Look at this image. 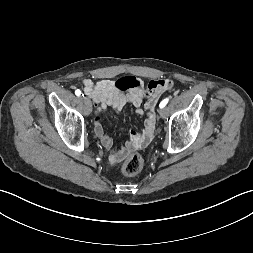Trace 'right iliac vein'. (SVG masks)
<instances>
[{
    "label": "right iliac vein",
    "instance_id": "1",
    "mask_svg": "<svg viewBox=\"0 0 253 253\" xmlns=\"http://www.w3.org/2000/svg\"><path fill=\"white\" fill-rule=\"evenodd\" d=\"M82 98V97H81ZM83 100H84V104H85V109H86V112L87 114H90L91 111H92V103L91 101L88 99V98H84L83 97Z\"/></svg>",
    "mask_w": 253,
    "mask_h": 253
}]
</instances>
